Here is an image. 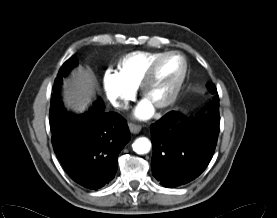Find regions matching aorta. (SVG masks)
<instances>
[{
	"instance_id": "obj_1",
	"label": "aorta",
	"mask_w": 277,
	"mask_h": 218,
	"mask_svg": "<svg viewBox=\"0 0 277 218\" xmlns=\"http://www.w3.org/2000/svg\"><path fill=\"white\" fill-rule=\"evenodd\" d=\"M132 148L137 154H147L151 149V142L146 137H139L132 144Z\"/></svg>"
}]
</instances>
